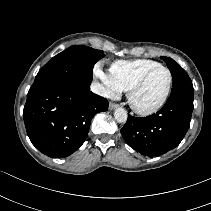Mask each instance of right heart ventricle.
Masks as SVG:
<instances>
[{"mask_svg":"<svg viewBox=\"0 0 211 211\" xmlns=\"http://www.w3.org/2000/svg\"><path fill=\"white\" fill-rule=\"evenodd\" d=\"M160 65L150 59L118 60L110 67V75L121 91H128L149 68Z\"/></svg>","mask_w":211,"mask_h":211,"instance_id":"e07e8e85","label":"right heart ventricle"}]
</instances>
